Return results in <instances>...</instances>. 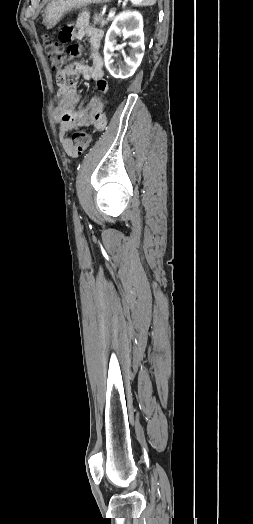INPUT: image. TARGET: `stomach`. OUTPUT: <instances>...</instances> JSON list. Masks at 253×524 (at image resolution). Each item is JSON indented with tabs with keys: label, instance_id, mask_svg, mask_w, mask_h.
Segmentation results:
<instances>
[{
	"label": "stomach",
	"instance_id": "1",
	"mask_svg": "<svg viewBox=\"0 0 253 524\" xmlns=\"http://www.w3.org/2000/svg\"><path fill=\"white\" fill-rule=\"evenodd\" d=\"M108 0H50L43 11V24L52 28L70 11L92 3H104Z\"/></svg>",
	"mask_w": 253,
	"mask_h": 524
}]
</instances>
